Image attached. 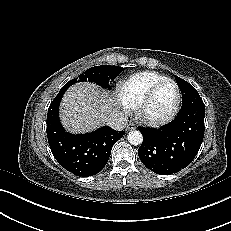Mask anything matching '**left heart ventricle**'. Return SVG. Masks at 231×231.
I'll list each match as a JSON object with an SVG mask.
<instances>
[{
	"label": "left heart ventricle",
	"instance_id": "left-heart-ventricle-1",
	"mask_svg": "<svg viewBox=\"0 0 231 231\" xmlns=\"http://www.w3.org/2000/svg\"><path fill=\"white\" fill-rule=\"evenodd\" d=\"M175 97L174 85L170 83L163 84L150 99L146 113L152 117L165 115L173 106Z\"/></svg>",
	"mask_w": 231,
	"mask_h": 231
}]
</instances>
